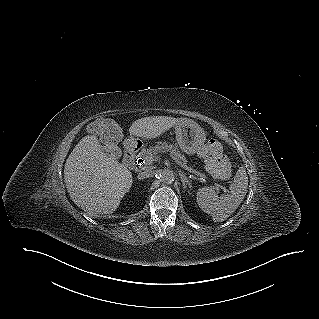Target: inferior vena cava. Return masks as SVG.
<instances>
[{"label": "inferior vena cava", "mask_w": 319, "mask_h": 319, "mask_svg": "<svg viewBox=\"0 0 319 319\" xmlns=\"http://www.w3.org/2000/svg\"><path fill=\"white\" fill-rule=\"evenodd\" d=\"M154 172L153 171H144L138 174V179H146V178H150L153 177Z\"/></svg>", "instance_id": "602c4592"}]
</instances>
